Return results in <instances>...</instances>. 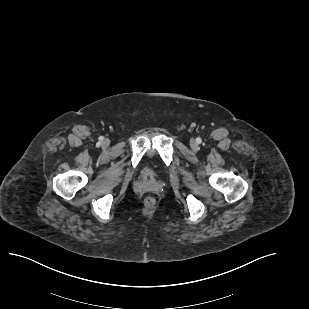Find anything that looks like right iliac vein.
Listing matches in <instances>:
<instances>
[{"label": "right iliac vein", "mask_w": 309, "mask_h": 309, "mask_svg": "<svg viewBox=\"0 0 309 309\" xmlns=\"http://www.w3.org/2000/svg\"><path fill=\"white\" fill-rule=\"evenodd\" d=\"M103 145H107V141H104V142H103Z\"/></svg>", "instance_id": "right-iliac-vein-1"}]
</instances>
